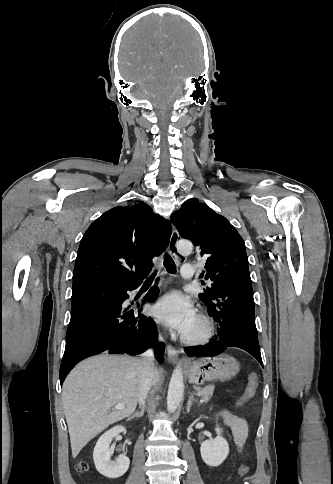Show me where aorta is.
<instances>
[{
	"label": "aorta",
	"mask_w": 333,
	"mask_h": 484,
	"mask_svg": "<svg viewBox=\"0 0 333 484\" xmlns=\"http://www.w3.org/2000/svg\"><path fill=\"white\" fill-rule=\"evenodd\" d=\"M177 250L182 254H189L192 251V244L188 241H179L177 243ZM184 392L183 373L182 368L178 365L171 376L168 395H167V410L174 412L182 401Z\"/></svg>",
	"instance_id": "aorta-1"
}]
</instances>
